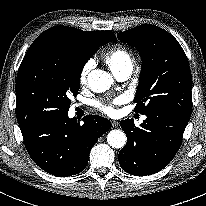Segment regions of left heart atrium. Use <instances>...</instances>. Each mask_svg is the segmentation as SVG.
<instances>
[{"label": "left heart atrium", "instance_id": "obj_1", "mask_svg": "<svg viewBox=\"0 0 206 206\" xmlns=\"http://www.w3.org/2000/svg\"><path fill=\"white\" fill-rule=\"evenodd\" d=\"M126 101V96L121 95L116 98H114L112 101L109 102H104V103H98L97 107L100 111L103 113L114 116L117 114V109L116 107L118 105L123 104Z\"/></svg>", "mask_w": 206, "mask_h": 206}]
</instances>
